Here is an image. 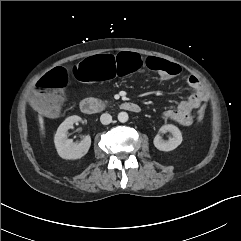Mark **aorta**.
Instances as JSON below:
<instances>
[{"label": "aorta", "mask_w": 241, "mask_h": 241, "mask_svg": "<svg viewBox=\"0 0 241 241\" xmlns=\"http://www.w3.org/2000/svg\"><path fill=\"white\" fill-rule=\"evenodd\" d=\"M128 118H129V116H128V114H127L126 112H120V113L118 114V120H119L121 123L127 122V121H128Z\"/></svg>", "instance_id": "obj_1"}]
</instances>
